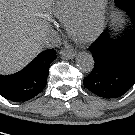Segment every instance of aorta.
Wrapping results in <instances>:
<instances>
[{
    "label": "aorta",
    "mask_w": 135,
    "mask_h": 135,
    "mask_svg": "<svg viewBox=\"0 0 135 135\" xmlns=\"http://www.w3.org/2000/svg\"><path fill=\"white\" fill-rule=\"evenodd\" d=\"M76 65L81 71L90 73L94 68L93 56L85 51L78 53L76 57Z\"/></svg>",
    "instance_id": "762f6f07"
}]
</instances>
